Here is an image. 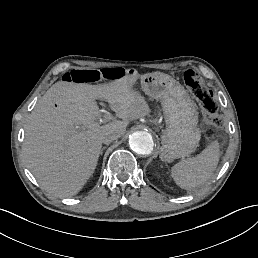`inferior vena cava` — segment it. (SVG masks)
Instances as JSON below:
<instances>
[{"label": "inferior vena cava", "mask_w": 258, "mask_h": 258, "mask_svg": "<svg viewBox=\"0 0 258 258\" xmlns=\"http://www.w3.org/2000/svg\"><path fill=\"white\" fill-rule=\"evenodd\" d=\"M119 136H120V133L109 129L103 132L101 136V142H103L104 144H109L115 141Z\"/></svg>", "instance_id": "1"}]
</instances>
